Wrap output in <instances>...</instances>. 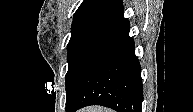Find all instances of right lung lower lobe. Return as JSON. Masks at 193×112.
Here are the masks:
<instances>
[{"label": "right lung lower lobe", "instance_id": "98d812e1", "mask_svg": "<svg viewBox=\"0 0 193 112\" xmlns=\"http://www.w3.org/2000/svg\"><path fill=\"white\" fill-rule=\"evenodd\" d=\"M129 29L117 32L84 66L66 99V112L88 105L141 112V67Z\"/></svg>", "mask_w": 193, "mask_h": 112}]
</instances>
